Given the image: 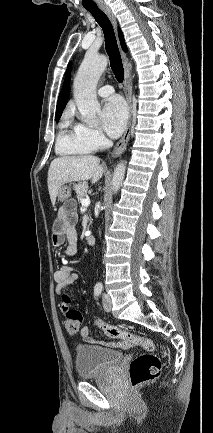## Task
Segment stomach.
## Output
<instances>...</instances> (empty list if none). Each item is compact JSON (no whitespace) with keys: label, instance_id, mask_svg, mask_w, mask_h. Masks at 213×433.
Wrapping results in <instances>:
<instances>
[{"label":"stomach","instance_id":"1","mask_svg":"<svg viewBox=\"0 0 213 433\" xmlns=\"http://www.w3.org/2000/svg\"><path fill=\"white\" fill-rule=\"evenodd\" d=\"M71 195V188L67 185L62 186L58 191V200L61 202H66Z\"/></svg>","mask_w":213,"mask_h":433}]
</instances>
